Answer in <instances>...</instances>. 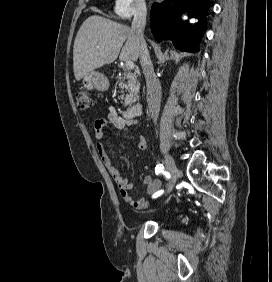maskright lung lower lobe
<instances>
[{
	"label": "right lung lower lobe",
	"mask_w": 272,
	"mask_h": 282,
	"mask_svg": "<svg viewBox=\"0 0 272 282\" xmlns=\"http://www.w3.org/2000/svg\"><path fill=\"white\" fill-rule=\"evenodd\" d=\"M208 0H164L154 3L150 12L151 31L157 41L170 40L181 51L196 52L204 22L191 28L187 21L179 19L182 12L189 10L191 17L204 20Z\"/></svg>",
	"instance_id": "1"
}]
</instances>
